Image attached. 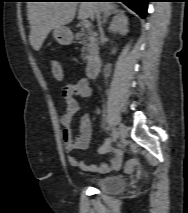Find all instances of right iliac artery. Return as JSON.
Returning a JSON list of instances; mask_svg holds the SVG:
<instances>
[{
  "instance_id": "obj_1",
  "label": "right iliac artery",
  "mask_w": 188,
  "mask_h": 213,
  "mask_svg": "<svg viewBox=\"0 0 188 213\" xmlns=\"http://www.w3.org/2000/svg\"><path fill=\"white\" fill-rule=\"evenodd\" d=\"M112 135L115 139H117L119 137V133H118L117 129H115V128L112 129Z\"/></svg>"
}]
</instances>
